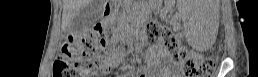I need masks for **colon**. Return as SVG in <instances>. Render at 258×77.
Returning <instances> with one entry per match:
<instances>
[{
	"label": "colon",
	"mask_w": 258,
	"mask_h": 77,
	"mask_svg": "<svg viewBox=\"0 0 258 77\" xmlns=\"http://www.w3.org/2000/svg\"><path fill=\"white\" fill-rule=\"evenodd\" d=\"M110 32L98 30L82 36H71L63 45L62 53L53 65V77H89L100 66V51L119 52L121 44L111 39ZM143 40L158 43L168 52L171 61L180 66L186 77H208L216 63L212 59H198L181 45L178 36L169 28L156 22L147 24Z\"/></svg>",
	"instance_id": "1"
}]
</instances>
